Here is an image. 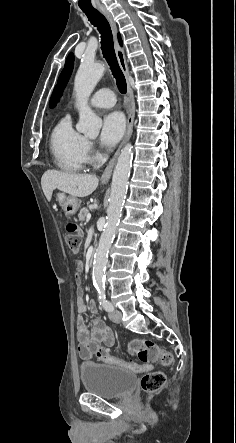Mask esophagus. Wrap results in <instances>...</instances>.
Instances as JSON below:
<instances>
[{"instance_id": "34e87169", "label": "esophagus", "mask_w": 236, "mask_h": 443, "mask_svg": "<svg viewBox=\"0 0 236 443\" xmlns=\"http://www.w3.org/2000/svg\"><path fill=\"white\" fill-rule=\"evenodd\" d=\"M98 10L105 16V18L107 19V21L110 24V27L112 29L113 36H114L115 53H116V57H117L119 66H120L122 72L124 73V75L126 77H128L129 76V69H128L124 49L119 45L118 40H117L116 23L111 15V13L104 6L99 7ZM127 90H128V94L131 98V108H130V111L128 114V119H127V131H126L125 137H124L121 145L119 146V148L115 152L112 159L109 161L107 167L105 168V170L101 176L102 182H107L110 179L111 174H112V170L115 165L117 156L120 152V149L130 139V137L132 135L133 121H134V115H135V103H134V98H133V90H132V87L129 82L127 83Z\"/></svg>"}]
</instances>
